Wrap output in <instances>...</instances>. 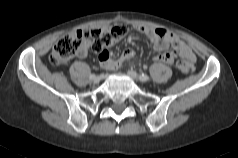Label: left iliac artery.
<instances>
[{"label":"left iliac artery","instance_id":"44dca946","mask_svg":"<svg viewBox=\"0 0 238 158\" xmlns=\"http://www.w3.org/2000/svg\"><path fill=\"white\" fill-rule=\"evenodd\" d=\"M139 78H140L141 81H147V80H149V76L146 75V74H141Z\"/></svg>","mask_w":238,"mask_h":158}]
</instances>
